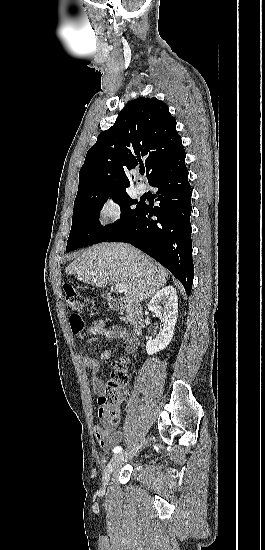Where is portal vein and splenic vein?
<instances>
[{
	"mask_svg": "<svg viewBox=\"0 0 265 550\" xmlns=\"http://www.w3.org/2000/svg\"><path fill=\"white\" fill-rule=\"evenodd\" d=\"M115 288L119 293H124L126 290L124 285H122L121 283H115Z\"/></svg>",
	"mask_w": 265,
	"mask_h": 550,
	"instance_id": "portal-vein-and-splenic-vein-1",
	"label": "portal vein and splenic vein"
}]
</instances>
